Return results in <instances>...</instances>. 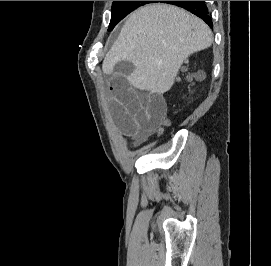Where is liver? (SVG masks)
<instances>
[{
    "label": "liver",
    "instance_id": "obj_1",
    "mask_svg": "<svg viewBox=\"0 0 271 266\" xmlns=\"http://www.w3.org/2000/svg\"><path fill=\"white\" fill-rule=\"evenodd\" d=\"M212 41V31L200 18L176 6L151 4L129 16L102 69L111 75L115 62H132L128 82L139 90L163 94L171 89L183 61Z\"/></svg>",
    "mask_w": 271,
    "mask_h": 266
}]
</instances>
